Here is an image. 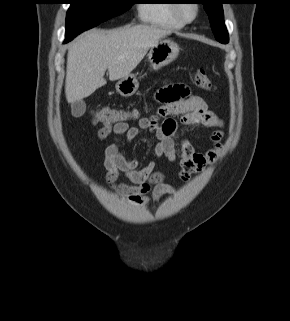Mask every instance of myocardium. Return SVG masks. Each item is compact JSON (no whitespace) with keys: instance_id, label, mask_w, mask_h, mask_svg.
Returning a JSON list of instances; mask_svg holds the SVG:
<instances>
[{"instance_id":"f54148a6","label":"myocardium","mask_w":290,"mask_h":321,"mask_svg":"<svg viewBox=\"0 0 290 321\" xmlns=\"http://www.w3.org/2000/svg\"><path fill=\"white\" fill-rule=\"evenodd\" d=\"M185 4L192 5V7L194 9V15L191 18H187L183 13V6ZM173 9H174V14L177 17V19L180 22H182L184 25L193 23L197 19L198 15L200 13V6H199V4H197L195 2H193V3H183V2L178 1V3H174Z\"/></svg>"}]
</instances>
